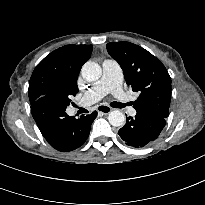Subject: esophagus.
Here are the masks:
<instances>
[{"instance_id":"obj_1","label":"esophagus","mask_w":205,"mask_h":205,"mask_svg":"<svg viewBox=\"0 0 205 205\" xmlns=\"http://www.w3.org/2000/svg\"><path fill=\"white\" fill-rule=\"evenodd\" d=\"M97 110L103 114H108L112 111V108L107 105H99Z\"/></svg>"}]
</instances>
